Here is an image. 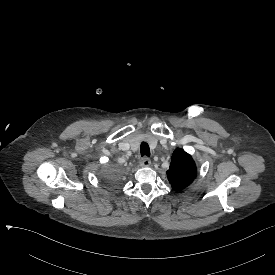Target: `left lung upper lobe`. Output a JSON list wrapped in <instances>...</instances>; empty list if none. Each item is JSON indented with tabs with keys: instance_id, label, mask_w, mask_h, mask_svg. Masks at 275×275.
I'll return each instance as SVG.
<instances>
[{
	"instance_id": "left-lung-upper-lobe-1",
	"label": "left lung upper lobe",
	"mask_w": 275,
	"mask_h": 275,
	"mask_svg": "<svg viewBox=\"0 0 275 275\" xmlns=\"http://www.w3.org/2000/svg\"><path fill=\"white\" fill-rule=\"evenodd\" d=\"M197 169L192 157L183 149L176 148L171 157L167 176L173 190L181 191L195 179Z\"/></svg>"
}]
</instances>
